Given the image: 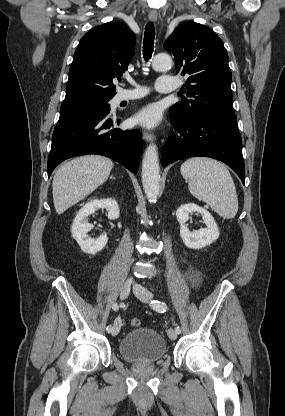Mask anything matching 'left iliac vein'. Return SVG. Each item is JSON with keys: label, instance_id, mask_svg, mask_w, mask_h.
Instances as JSON below:
<instances>
[{"label": "left iliac vein", "instance_id": "left-iliac-vein-1", "mask_svg": "<svg viewBox=\"0 0 285 416\" xmlns=\"http://www.w3.org/2000/svg\"><path fill=\"white\" fill-rule=\"evenodd\" d=\"M133 291H134L135 295L137 296V298L144 301V302H148L149 299H151V297H152V293L149 290H147L146 288L142 287L138 283H136L134 285ZM177 334L178 333L176 331H174L172 328H170L168 330V336L172 340L177 338Z\"/></svg>", "mask_w": 285, "mask_h": 416}]
</instances>
